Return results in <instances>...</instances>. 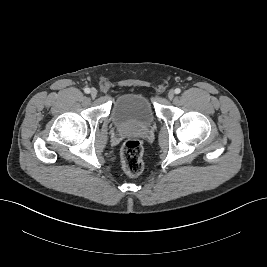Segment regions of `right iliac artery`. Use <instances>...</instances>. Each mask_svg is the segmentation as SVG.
Segmentation results:
<instances>
[{"instance_id": "1", "label": "right iliac artery", "mask_w": 267, "mask_h": 267, "mask_svg": "<svg viewBox=\"0 0 267 267\" xmlns=\"http://www.w3.org/2000/svg\"><path fill=\"white\" fill-rule=\"evenodd\" d=\"M84 92L88 94V93H90V89L89 88H85Z\"/></svg>"}]
</instances>
